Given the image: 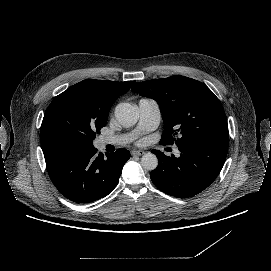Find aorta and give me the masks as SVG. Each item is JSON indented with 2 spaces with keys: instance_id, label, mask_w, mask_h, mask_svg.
Returning <instances> with one entry per match:
<instances>
[{
  "instance_id": "1",
  "label": "aorta",
  "mask_w": 271,
  "mask_h": 271,
  "mask_svg": "<svg viewBox=\"0 0 271 271\" xmlns=\"http://www.w3.org/2000/svg\"><path fill=\"white\" fill-rule=\"evenodd\" d=\"M117 122L123 127H132L139 118V114L130 103H120L115 107L114 112ZM158 159L156 155L147 152L141 158L143 169L153 171L157 168Z\"/></svg>"
}]
</instances>
